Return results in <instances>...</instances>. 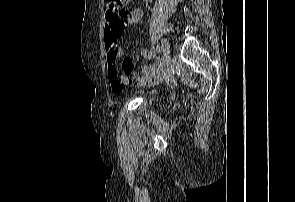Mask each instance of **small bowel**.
<instances>
[{
	"label": "small bowel",
	"instance_id": "small-bowel-1",
	"mask_svg": "<svg viewBox=\"0 0 295 202\" xmlns=\"http://www.w3.org/2000/svg\"><path fill=\"white\" fill-rule=\"evenodd\" d=\"M143 12L140 8H130L127 10V18L113 19L107 15L105 25V49L107 71L113 92L121 93L125 85L137 83L147 86L157 84L163 80L169 79L170 75L161 61H157L152 65L142 68L141 73H135V63H131V59H120L124 75L129 77H119L116 67V61L122 55V50L117 46V39L123 31L126 24H137L142 19ZM145 59H154L155 53L151 50L144 49L141 52ZM119 85V86H117ZM168 86H174V90H179L181 81H168Z\"/></svg>",
	"mask_w": 295,
	"mask_h": 202
}]
</instances>
